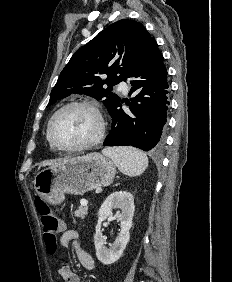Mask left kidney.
Listing matches in <instances>:
<instances>
[{
  "label": "left kidney",
  "instance_id": "5707ae66",
  "mask_svg": "<svg viewBox=\"0 0 232 282\" xmlns=\"http://www.w3.org/2000/svg\"><path fill=\"white\" fill-rule=\"evenodd\" d=\"M114 209H121V213L113 214ZM133 196L127 191H116L111 193L101 205L98 213V222L95 227L94 244L96 256L103 264L108 265L116 262L123 254L130 239V229L134 215ZM109 217H115L120 221L121 230L112 247L107 248L102 236V222Z\"/></svg>",
  "mask_w": 232,
  "mask_h": 282
}]
</instances>
